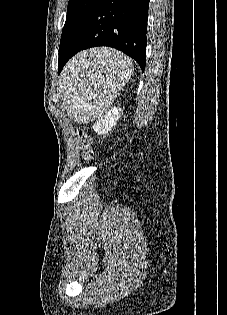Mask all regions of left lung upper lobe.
Returning <instances> with one entry per match:
<instances>
[{"instance_id":"1","label":"left lung upper lobe","mask_w":227,"mask_h":315,"mask_svg":"<svg viewBox=\"0 0 227 315\" xmlns=\"http://www.w3.org/2000/svg\"><path fill=\"white\" fill-rule=\"evenodd\" d=\"M97 2L98 0H69L59 50L66 45L76 27L84 20Z\"/></svg>"}]
</instances>
